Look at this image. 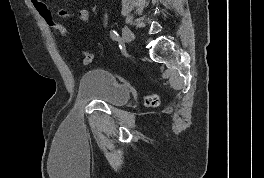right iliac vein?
<instances>
[{"mask_svg": "<svg viewBox=\"0 0 264 178\" xmlns=\"http://www.w3.org/2000/svg\"><path fill=\"white\" fill-rule=\"evenodd\" d=\"M122 35H123L124 40L127 43H130L134 40V35H133L132 31L127 26H124L122 28Z\"/></svg>", "mask_w": 264, "mask_h": 178, "instance_id": "right-iliac-vein-1", "label": "right iliac vein"}]
</instances>
